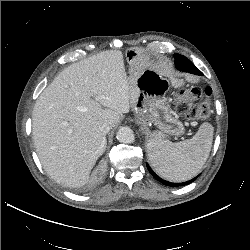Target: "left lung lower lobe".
Listing matches in <instances>:
<instances>
[{
  "label": "left lung lower lobe",
  "instance_id": "0a47b994",
  "mask_svg": "<svg viewBox=\"0 0 250 250\" xmlns=\"http://www.w3.org/2000/svg\"><path fill=\"white\" fill-rule=\"evenodd\" d=\"M175 66L177 67L178 70L184 71V72H189L192 74H196V75H203L202 72L200 70H198L195 65L188 60L186 57H184L183 55L180 54H175ZM147 168L150 172V174L159 182H161L162 184L166 185V186H171V187H177V186H184L187 184L192 183L194 180L197 179V177L187 181V182H183V183H172L166 180H163L162 178H160L157 174H155V172L150 168V166L147 164Z\"/></svg>",
  "mask_w": 250,
  "mask_h": 250
}]
</instances>
